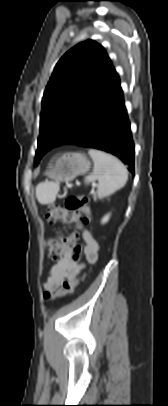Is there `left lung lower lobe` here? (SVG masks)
Wrapping results in <instances>:
<instances>
[{"label": "left lung lower lobe", "instance_id": "0a47b994", "mask_svg": "<svg viewBox=\"0 0 168 406\" xmlns=\"http://www.w3.org/2000/svg\"><path fill=\"white\" fill-rule=\"evenodd\" d=\"M62 145H79L119 157L134 174V144L118 75L108 86L80 130Z\"/></svg>", "mask_w": 168, "mask_h": 406}]
</instances>
